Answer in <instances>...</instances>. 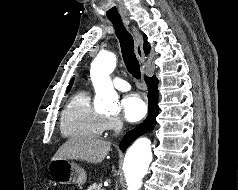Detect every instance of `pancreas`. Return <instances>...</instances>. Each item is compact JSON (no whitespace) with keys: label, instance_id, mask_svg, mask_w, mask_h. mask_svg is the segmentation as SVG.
<instances>
[{"label":"pancreas","instance_id":"pancreas-1","mask_svg":"<svg viewBox=\"0 0 238 190\" xmlns=\"http://www.w3.org/2000/svg\"><path fill=\"white\" fill-rule=\"evenodd\" d=\"M87 190H103L102 189V184L101 183H94L92 185H90Z\"/></svg>","mask_w":238,"mask_h":190}]
</instances>
